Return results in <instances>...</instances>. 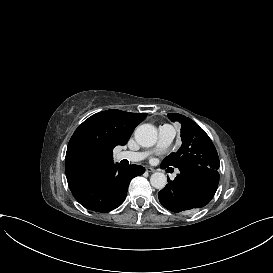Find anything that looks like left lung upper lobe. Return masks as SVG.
Segmentation results:
<instances>
[{"instance_id": "obj_1", "label": "left lung upper lobe", "mask_w": 273, "mask_h": 273, "mask_svg": "<svg viewBox=\"0 0 273 273\" xmlns=\"http://www.w3.org/2000/svg\"><path fill=\"white\" fill-rule=\"evenodd\" d=\"M171 121L181 123L182 145L176 153L167 156L165 167L206 166L218 170L219 158L214 144L192 119L178 113H169Z\"/></svg>"}]
</instances>
